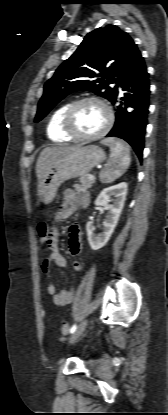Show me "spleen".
<instances>
[{
	"mask_svg": "<svg viewBox=\"0 0 168 415\" xmlns=\"http://www.w3.org/2000/svg\"><path fill=\"white\" fill-rule=\"evenodd\" d=\"M110 147V158L105 168L100 172L101 183L108 184L122 176L130 165V147L122 140L106 138L101 141Z\"/></svg>",
	"mask_w": 168,
	"mask_h": 415,
	"instance_id": "1",
	"label": "spleen"
}]
</instances>
